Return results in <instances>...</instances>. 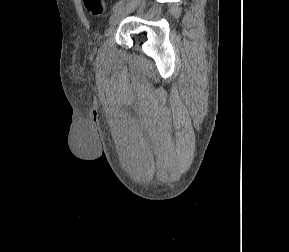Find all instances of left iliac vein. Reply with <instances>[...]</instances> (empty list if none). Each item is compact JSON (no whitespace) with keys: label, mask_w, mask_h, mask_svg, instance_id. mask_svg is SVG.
I'll return each mask as SVG.
<instances>
[{"label":"left iliac vein","mask_w":289,"mask_h":252,"mask_svg":"<svg viewBox=\"0 0 289 252\" xmlns=\"http://www.w3.org/2000/svg\"><path fill=\"white\" fill-rule=\"evenodd\" d=\"M140 3L141 0H129L124 6L114 11L109 20L110 27H114L120 23V21L129 13L133 12Z\"/></svg>","instance_id":"1"}]
</instances>
